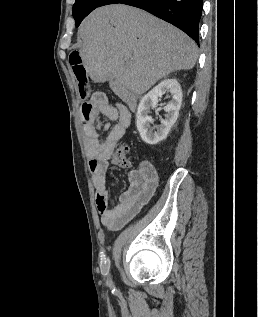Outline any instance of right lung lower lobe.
I'll use <instances>...</instances> for the list:
<instances>
[{
  "label": "right lung lower lobe",
  "mask_w": 258,
  "mask_h": 317,
  "mask_svg": "<svg viewBox=\"0 0 258 317\" xmlns=\"http://www.w3.org/2000/svg\"><path fill=\"white\" fill-rule=\"evenodd\" d=\"M141 8L183 30L199 45V22L203 0H86L77 16L76 26L94 9L108 4Z\"/></svg>",
  "instance_id": "right-lung-lower-lobe-1"
}]
</instances>
